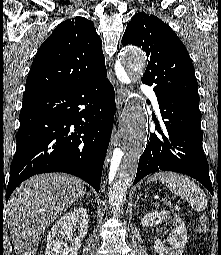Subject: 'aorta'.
Instances as JSON below:
<instances>
[{
    "label": "aorta",
    "mask_w": 221,
    "mask_h": 255,
    "mask_svg": "<svg viewBox=\"0 0 221 255\" xmlns=\"http://www.w3.org/2000/svg\"><path fill=\"white\" fill-rule=\"evenodd\" d=\"M121 63L124 69L118 73L121 81L139 80L146 68L145 54L136 47L122 51ZM140 94L131 97L125 113L124 138L113 154L108 175L109 201L115 211H120L127 190L135 178L137 164L148 137V118Z\"/></svg>",
    "instance_id": "aorta-1"
}]
</instances>
